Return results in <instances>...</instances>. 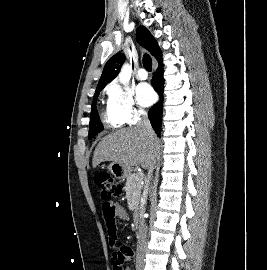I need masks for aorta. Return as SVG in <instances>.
I'll return each instance as SVG.
<instances>
[{
	"mask_svg": "<svg viewBox=\"0 0 267 270\" xmlns=\"http://www.w3.org/2000/svg\"><path fill=\"white\" fill-rule=\"evenodd\" d=\"M131 72V66L129 64H125L119 74L120 82L123 84L127 83L131 78Z\"/></svg>",
	"mask_w": 267,
	"mask_h": 270,
	"instance_id": "obj_1",
	"label": "aorta"
}]
</instances>
